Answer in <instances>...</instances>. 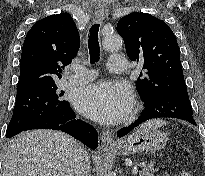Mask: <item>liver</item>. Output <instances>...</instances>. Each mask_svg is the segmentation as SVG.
Listing matches in <instances>:
<instances>
[{
	"label": "liver",
	"instance_id": "6515ba94",
	"mask_svg": "<svg viewBox=\"0 0 205 176\" xmlns=\"http://www.w3.org/2000/svg\"><path fill=\"white\" fill-rule=\"evenodd\" d=\"M78 146L60 131L23 132L6 149L3 176H74Z\"/></svg>",
	"mask_w": 205,
	"mask_h": 176
}]
</instances>
